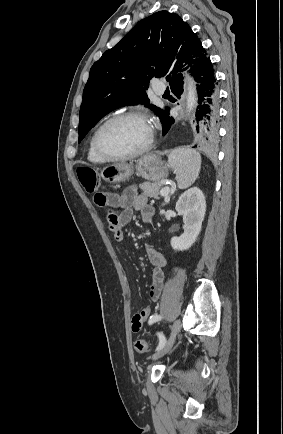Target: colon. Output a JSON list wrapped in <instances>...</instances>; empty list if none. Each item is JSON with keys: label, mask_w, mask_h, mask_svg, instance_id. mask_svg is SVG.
Returning a JSON list of instances; mask_svg holds the SVG:
<instances>
[{"label": "colon", "mask_w": 283, "mask_h": 434, "mask_svg": "<svg viewBox=\"0 0 283 434\" xmlns=\"http://www.w3.org/2000/svg\"><path fill=\"white\" fill-rule=\"evenodd\" d=\"M78 179L87 192H95L98 188V174L97 172L89 167H82L77 170ZM134 349L138 353L149 352V347L144 339H138L134 343Z\"/></svg>", "instance_id": "5ec220e1"}]
</instances>
